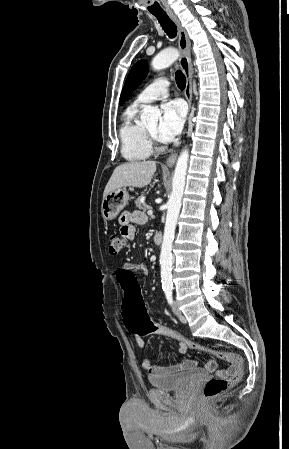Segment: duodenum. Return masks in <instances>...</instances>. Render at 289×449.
I'll return each mask as SVG.
<instances>
[{
	"mask_svg": "<svg viewBox=\"0 0 289 449\" xmlns=\"http://www.w3.org/2000/svg\"><path fill=\"white\" fill-rule=\"evenodd\" d=\"M153 240H154V243H155L157 246H161V245H162V242H163V236H162V233H161L160 231H157V232L155 233V235H154Z\"/></svg>",
	"mask_w": 289,
	"mask_h": 449,
	"instance_id": "410a0bca",
	"label": "duodenum"
}]
</instances>
